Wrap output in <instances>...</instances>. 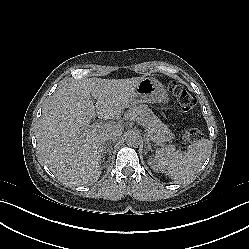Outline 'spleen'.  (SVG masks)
<instances>
[{
    "label": "spleen",
    "mask_w": 249,
    "mask_h": 249,
    "mask_svg": "<svg viewBox=\"0 0 249 249\" xmlns=\"http://www.w3.org/2000/svg\"><path fill=\"white\" fill-rule=\"evenodd\" d=\"M212 145L208 139L191 144L184 152L158 151L154 160L163 173L174 179L180 178L178 173L194 172L201 168L208 158Z\"/></svg>",
    "instance_id": "spleen-1"
}]
</instances>
